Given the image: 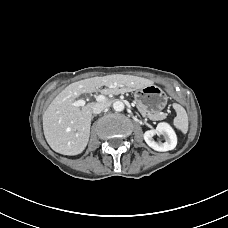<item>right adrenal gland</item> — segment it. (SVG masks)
Masks as SVG:
<instances>
[{
    "instance_id": "2a0ac1e0",
    "label": "right adrenal gland",
    "mask_w": 228,
    "mask_h": 228,
    "mask_svg": "<svg viewBox=\"0 0 228 228\" xmlns=\"http://www.w3.org/2000/svg\"><path fill=\"white\" fill-rule=\"evenodd\" d=\"M96 116H97L96 114L92 115V118L91 119L93 120V118L96 117Z\"/></svg>"
}]
</instances>
